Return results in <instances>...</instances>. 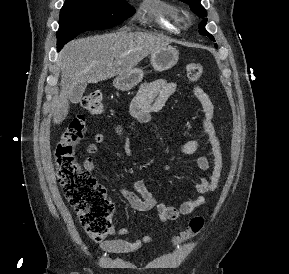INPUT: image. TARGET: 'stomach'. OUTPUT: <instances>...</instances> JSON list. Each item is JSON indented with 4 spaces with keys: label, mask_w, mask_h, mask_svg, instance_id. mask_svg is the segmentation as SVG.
Wrapping results in <instances>:
<instances>
[{
    "label": "stomach",
    "mask_w": 289,
    "mask_h": 274,
    "mask_svg": "<svg viewBox=\"0 0 289 274\" xmlns=\"http://www.w3.org/2000/svg\"><path fill=\"white\" fill-rule=\"evenodd\" d=\"M179 59V52L172 46H165L151 53V64L157 71H165L176 65ZM143 71L139 68H134L130 72L118 75L113 85L121 91H129L141 82Z\"/></svg>",
    "instance_id": "stomach-1"
}]
</instances>
